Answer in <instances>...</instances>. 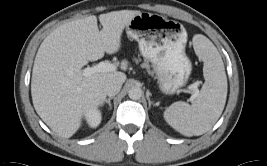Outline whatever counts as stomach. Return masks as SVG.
<instances>
[{
  "instance_id": "stomach-1",
  "label": "stomach",
  "mask_w": 267,
  "mask_h": 166,
  "mask_svg": "<svg viewBox=\"0 0 267 166\" xmlns=\"http://www.w3.org/2000/svg\"><path fill=\"white\" fill-rule=\"evenodd\" d=\"M126 33L138 42L140 53L151 62L164 94H174L186 85L192 64L185 54L187 32L181 23L141 12L126 26Z\"/></svg>"
}]
</instances>
